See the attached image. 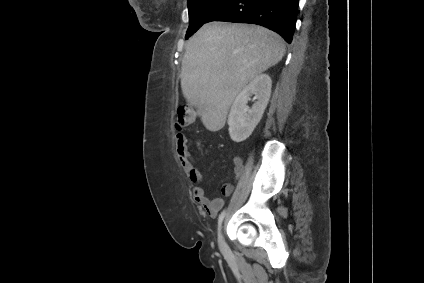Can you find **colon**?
<instances>
[{"mask_svg":"<svg viewBox=\"0 0 424 283\" xmlns=\"http://www.w3.org/2000/svg\"><path fill=\"white\" fill-rule=\"evenodd\" d=\"M195 111L190 105H181L177 110L175 119V128L182 130L187 127L193 120Z\"/></svg>","mask_w":424,"mask_h":283,"instance_id":"obj_1","label":"colon"}]
</instances>
